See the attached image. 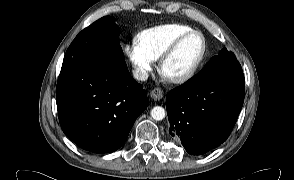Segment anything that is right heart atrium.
<instances>
[{
  "instance_id": "right-heart-atrium-1",
  "label": "right heart atrium",
  "mask_w": 294,
  "mask_h": 180,
  "mask_svg": "<svg viewBox=\"0 0 294 180\" xmlns=\"http://www.w3.org/2000/svg\"><path fill=\"white\" fill-rule=\"evenodd\" d=\"M124 50L133 65L136 77L140 80H145L152 71L155 60L146 52L136 39H133L126 44Z\"/></svg>"
}]
</instances>
